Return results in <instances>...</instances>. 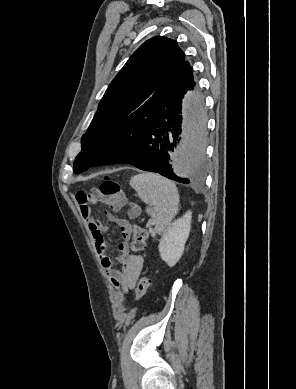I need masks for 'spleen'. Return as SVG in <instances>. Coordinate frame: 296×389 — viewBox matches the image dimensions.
Listing matches in <instances>:
<instances>
[{
	"label": "spleen",
	"instance_id": "1",
	"mask_svg": "<svg viewBox=\"0 0 296 389\" xmlns=\"http://www.w3.org/2000/svg\"><path fill=\"white\" fill-rule=\"evenodd\" d=\"M129 184L143 202L153 206L147 209L155 223L152 236L165 232L179 208V194L175 183L159 174L140 173L133 176Z\"/></svg>",
	"mask_w": 296,
	"mask_h": 389
}]
</instances>
